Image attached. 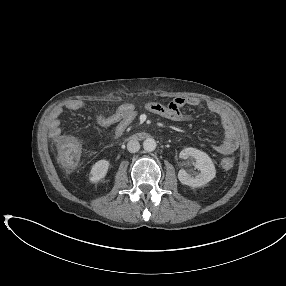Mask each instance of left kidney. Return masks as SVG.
<instances>
[{
  "label": "left kidney",
  "instance_id": "obj_1",
  "mask_svg": "<svg viewBox=\"0 0 286 286\" xmlns=\"http://www.w3.org/2000/svg\"><path fill=\"white\" fill-rule=\"evenodd\" d=\"M179 157L181 159H187L188 157L195 159V167L200 171L196 177H193L184 169H181L178 173V179L182 184L191 186L193 188L200 187L207 184L215 177V166L211 158L205 152L190 147L183 149L180 152Z\"/></svg>",
  "mask_w": 286,
  "mask_h": 286
}]
</instances>
